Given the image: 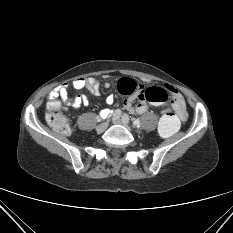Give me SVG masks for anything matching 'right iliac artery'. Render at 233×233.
I'll use <instances>...</instances> for the list:
<instances>
[{
    "label": "right iliac artery",
    "mask_w": 233,
    "mask_h": 233,
    "mask_svg": "<svg viewBox=\"0 0 233 233\" xmlns=\"http://www.w3.org/2000/svg\"><path fill=\"white\" fill-rule=\"evenodd\" d=\"M121 116V110L117 109L114 111V115L112 116V119H118Z\"/></svg>",
    "instance_id": "right-iliac-artery-1"
}]
</instances>
